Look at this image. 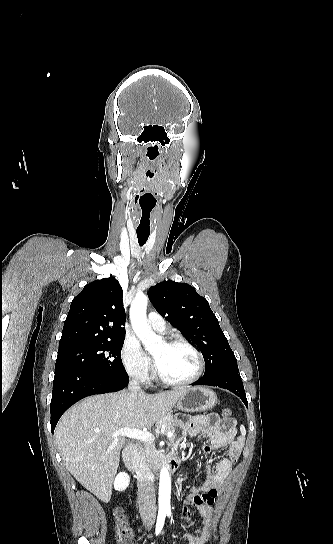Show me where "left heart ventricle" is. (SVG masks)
Wrapping results in <instances>:
<instances>
[{
	"label": "left heart ventricle",
	"instance_id": "1",
	"mask_svg": "<svg viewBox=\"0 0 333 544\" xmlns=\"http://www.w3.org/2000/svg\"><path fill=\"white\" fill-rule=\"evenodd\" d=\"M152 355L161 375L171 381H182L195 374L198 361L195 354L182 345L168 346L164 342Z\"/></svg>",
	"mask_w": 333,
	"mask_h": 544
}]
</instances>
